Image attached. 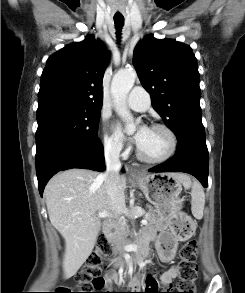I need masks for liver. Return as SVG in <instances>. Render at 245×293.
Returning a JSON list of instances; mask_svg holds the SVG:
<instances>
[{"label":"liver","mask_w":245,"mask_h":293,"mask_svg":"<svg viewBox=\"0 0 245 293\" xmlns=\"http://www.w3.org/2000/svg\"><path fill=\"white\" fill-rule=\"evenodd\" d=\"M175 177L185 187L190 179L185 174L175 173ZM126 177L119 179L120 190L124 196ZM44 196L51 224L65 240L63 258L64 278L74 276L92 253L101 221L98 212L120 214L108 197L103 174L85 169H69L54 176L45 187ZM125 203V197H124Z\"/></svg>","instance_id":"6515ba94"}]
</instances>
